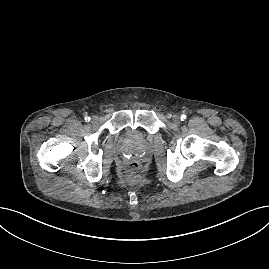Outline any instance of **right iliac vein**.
Masks as SVG:
<instances>
[{
  "mask_svg": "<svg viewBox=\"0 0 269 269\" xmlns=\"http://www.w3.org/2000/svg\"><path fill=\"white\" fill-rule=\"evenodd\" d=\"M97 121H98V117L97 116H92L91 122L96 123Z\"/></svg>",
  "mask_w": 269,
  "mask_h": 269,
  "instance_id": "obj_1",
  "label": "right iliac vein"
}]
</instances>
